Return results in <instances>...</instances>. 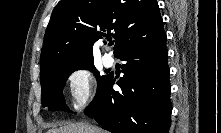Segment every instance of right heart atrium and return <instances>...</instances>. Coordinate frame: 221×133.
I'll list each match as a JSON object with an SVG mask.
<instances>
[{"label":"right heart atrium","mask_w":221,"mask_h":133,"mask_svg":"<svg viewBox=\"0 0 221 133\" xmlns=\"http://www.w3.org/2000/svg\"><path fill=\"white\" fill-rule=\"evenodd\" d=\"M66 81L72 107L77 111L85 109L96 93L92 72L85 66L76 67L68 73Z\"/></svg>","instance_id":"d8ad5b80"}]
</instances>
